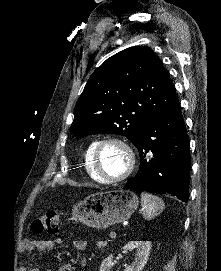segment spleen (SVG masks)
Wrapping results in <instances>:
<instances>
[{
  "label": "spleen",
  "mask_w": 221,
  "mask_h": 271,
  "mask_svg": "<svg viewBox=\"0 0 221 271\" xmlns=\"http://www.w3.org/2000/svg\"><path fill=\"white\" fill-rule=\"evenodd\" d=\"M141 205L145 219H154L164 209V201L157 195H151V193H146V191L141 193Z\"/></svg>",
  "instance_id": "1"
}]
</instances>
